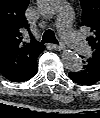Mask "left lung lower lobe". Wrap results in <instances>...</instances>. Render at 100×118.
<instances>
[{"mask_svg": "<svg viewBox=\"0 0 100 118\" xmlns=\"http://www.w3.org/2000/svg\"><path fill=\"white\" fill-rule=\"evenodd\" d=\"M83 63L82 71L69 72L70 79L82 85H92L100 81V62L91 57Z\"/></svg>", "mask_w": 100, "mask_h": 118, "instance_id": "0a47b994", "label": "left lung lower lobe"}]
</instances>
